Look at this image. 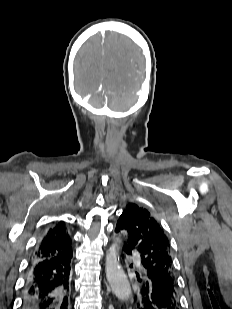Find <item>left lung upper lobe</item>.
I'll list each match as a JSON object with an SVG mask.
<instances>
[{
	"mask_svg": "<svg viewBox=\"0 0 232 309\" xmlns=\"http://www.w3.org/2000/svg\"><path fill=\"white\" fill-rule=\"evenodd\" d=\"M115 231H122L128 247L140 254L142 270L157 275L173 299L179 302L170 242L150 212L136 204H128L117 221Z\"/></svg>",
	"mask_w": 232,
	"mask_h": 309,
	"instance_id": "left-lung-upper-lobe-1",
	"label": "left lung upper lobe"
}]
</instances>
